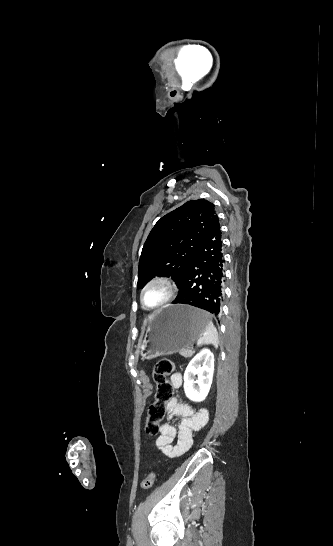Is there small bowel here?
<instances>
[{"label":"small bowel","instance_id":"obj_1","mask_svg":"<svg viewBox=\"0 0 333 546\" xmlns=\"http://www.w3.org/2000/svg\"><path fill=\"white\" fill-rule=\"evenodd\" d=\"M170 382L174 388H181L183 385L182 374L180 372L172 374ZM166 410L169 421L160 426L155 444L166 456L174 458L182 455L191 447L194 433L205 427L209 420V412L203 408L195 410L177 398H172L167 403ZM175 417H182L177 428L170 423L171 419Z\"/></svg>","mask_w":333,"mask_h":546}]
</instances>
